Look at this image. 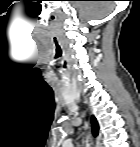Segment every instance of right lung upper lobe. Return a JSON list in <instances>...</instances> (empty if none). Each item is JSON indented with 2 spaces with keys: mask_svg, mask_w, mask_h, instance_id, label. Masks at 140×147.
Here are the masks:
<instances>
[{
  "mask_svg": "<svg viewBox=\"0 0 140 147\" xmlns=\"http://www.w3.org/2000/svg\"><path fill=\"white\" fill-rule=\"evenodd\" d=\"M91 124H92L93 134H94V136H97L98 131H99V125H98V122L94 116H92V118H91Z\"/></svg>",
  "mask_w": 140,
  "mask_h": 147,
  "instance_id": "obj_1",
  "label": "right lung upper lobe"
}]
</instances>
